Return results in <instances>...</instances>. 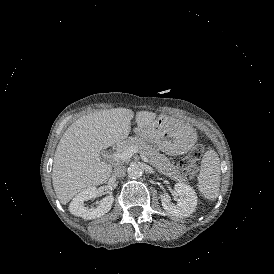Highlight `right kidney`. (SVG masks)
<instances>
[{
	"mask_svg": "<svg viewBox=\"0 0 274 274\" xmlns=\"http://www.w3.org/2000/svg\"><path fill=\"white\" fill-rule=\"evenodd\" d=\"M96 194V188L90 187L81 191L70 203L69 211L77 216L82 217L85 220H92L104 216L107 212L110 211L114 196L107 195L96 203L97 207L91 209L84 206V202L92 199Z\"/></svg>",
	"mask_w": 274,
	"mask_h": 274,
	"instance_id": "right-kidney-1",
	"label": "right kidney"
}]
</instances>
